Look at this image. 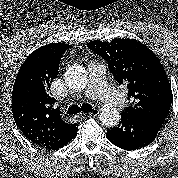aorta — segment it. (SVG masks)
Returning <instances> with one entry per match:
<instances>
[{
    "instance_id": "obj_1",
    "label": "aorta",
    "mask_w": 178,
    "mask_h": 178,
    "mask_svg": "<svg viewBox=\"0 0 178 178\" xmlns=\"http://www.w3.org/2000/svg\"><path fill=\"white\" fill-rule=\"evenodd\" d=\"M65 81L70 89L83 90L88 82L86 70L81 66L70 67L65 74ZM99 118L103 125L113 127L119 123L120 114L114 106L105 105L101 108Z\"/></svg>"
}]
</instances>
